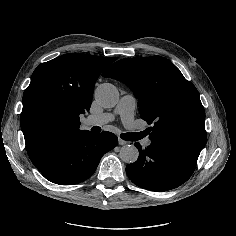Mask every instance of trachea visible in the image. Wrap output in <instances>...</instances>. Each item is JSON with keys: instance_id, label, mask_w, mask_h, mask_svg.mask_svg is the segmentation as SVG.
Wrapping results in <instances>:
<instances>
[{"instance_id": "1", "label": "trachea", "mask_w": 236, "mask_h": 236, "mask_svg": "<svg viewBox=\"0 0 236 236\" xmlns=\"http://www.w3.org/2000/svg\"><path fill=\"white\" fill-rule=\"evenodd\" d=\"M92 131H94L96 133H99L101 131V128L99 126H94L92 128ZM137 134L138 133H122V134H120V137L123 140H126V141H136L137 140Z\"/></svg>"}]
</instances>
